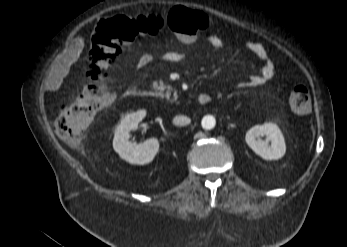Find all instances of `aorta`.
I'll use <instances>...</instances> for the list:
<instances>
[{
  "label": "aorta",
  "instance_id": "1",
  "mask_svg": "<svg viewBox=\"0 0 347 247\" xmlns=\"http://www.w3.org/2000/svg\"><path fill=\"white\" fill-rule=\"evenodd\" d=\"M201 124L205 130H211L215 127L216 120L212 115H206L203 117Z\"/></svg>",
  "mask_w": 347,
  "mask_h": 247
}]
</instances>
